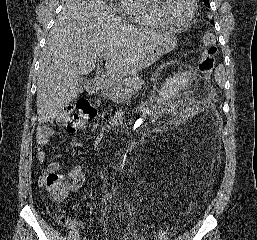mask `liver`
<instances>
[{
	"label": "liver",
	"instance_id": "liver-1",
	"mask_svg": "<svg viewBox=\"0 0 257 240\" xmlns=\"http://www.w3.org/2000/svg\"><path fill=\"white\" fill-rule=\"evenodd\" d=\"M166 33L136 27L116 17L104 0H68L41 53L37 114L54 118L80 91L79 76L106 54V78L115 81Z\"/></svg>",
	"mask_w": 257,
	"mask_h": 240
}]
</instances>
